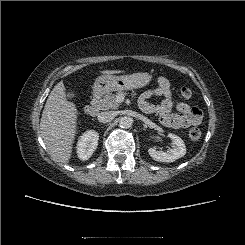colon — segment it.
Instances as JSON below:
<instances>
[{
  "instance_id": "1",
  "label": "colon",
  "mask_w": 245,
  "mask_h": 245,
  "mask_svg": "<svg viewBox=\"0 0 245 245\" xmlns=\"http://www.w3.org/2000/svg\"><path fill=\"white\" fill-rule=\"evenodd\" d=\"M180 96L184 100H188L192 96V91L188 87H182L180 89ZM201 131L198 128H192L189 131V137L191 140L197 141L201 138Z\"/></svg>"
}]
</instances>
